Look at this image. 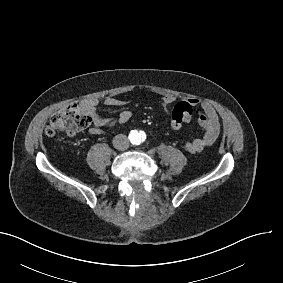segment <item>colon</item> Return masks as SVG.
I'll return each instance as SVG.
<instances>
[{"instance_id": "obj_1", "label": "colon", "mask_w": 283, "mask_h": 283, "mask_svg": "<svg viewBox=\"0 0 283 283\" xmlns=\"http://www.w3.org/2000/svg\"><path fill=\"white\" fill-rule=\"evenodd\" d=\"M192 108L186 103H180L172 116V127L178 129L181 124H187L191 120ZM89 126L88 115L80 103H72L70 107H64L53 113L50 124L45 128V135L53 138L58 133L75 135L86 130Z\"/></svg>"}]
</instances>
